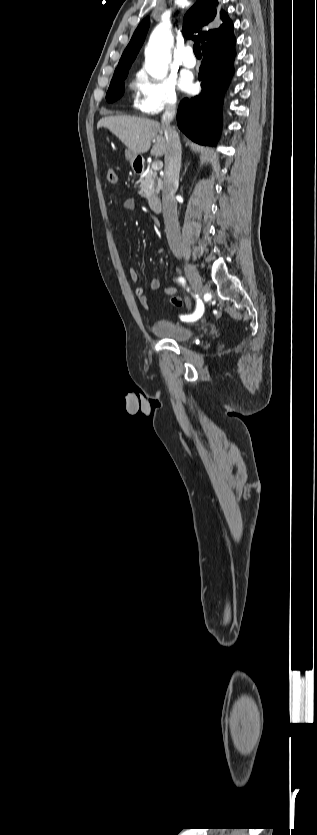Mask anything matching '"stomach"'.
<instances>
[{
	"label": "stomach",
	"mask_w": 317,
	"mask_h": 835,
	"mask_svg": "<svg viewBox=\"0 0 317 835\" xmlns=\"http://www.w3.org/2000/svg\"><path fill=\"white\" fill-rule=\"evenodd\" d=\"M125 156H126V159L130 162V164L132 166L134 165L135 161H138L139 159L140 160L142 159V157L140 155H135L130 150L125 151Z\"/></svg>",
	"instance_id": "stomach-1"
}]
</instances>
